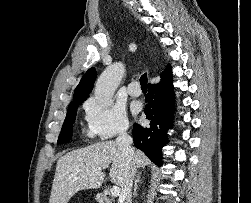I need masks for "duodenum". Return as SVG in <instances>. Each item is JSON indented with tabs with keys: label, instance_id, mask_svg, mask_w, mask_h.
I'll return each mask as SVG.
<instances>
[{
	"label": "duodenum",
	"instance_id": "410a0bca",
	"mask_svg": "<svg viewBox=\"0 0 251 203\" xmlns=\"http://www.w3.org/2000/svg\"><path fill=\"white\" fill-rule=\"evenodd\" d=\"M97 200L99 203H111L110 199L105 194H98Z\"/></svg>",
	"mask_w": 251,
	"mask_h": 203
}]
</instances>
